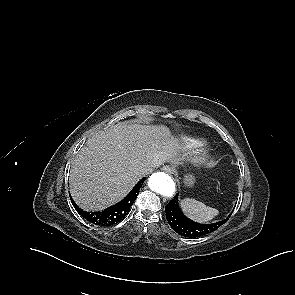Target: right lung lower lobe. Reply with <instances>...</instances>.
I'll use <instances>...</instances> for the list:
<instances>
[{"label": "right lung lower lobe", "instance_id": "1", "mask_svg": "<svg viewBox=\"0 0 295 295\" xmlns=\"http://www.w3.org/2000/svg\"><path fill=\"white\" fill-rule=\"evenodd\" d=\"M145 178L141 179L132 191L119 203L105 209L102 212H86L79 208L71 199L76 211L90 223L100 226H110L119 223L125 218L133 202L138 196L139 190Z\"/></svg>", "mask_w": 295, "mask_h": 295}]
</instances>
